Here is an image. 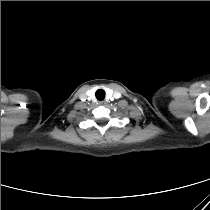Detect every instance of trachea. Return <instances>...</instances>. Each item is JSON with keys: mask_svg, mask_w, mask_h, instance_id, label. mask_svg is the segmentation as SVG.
Returning a JSON list of instances; mask_svg holds the SVG:
<instances>
[{"mask_svg": "<svg viewBox=\"0 0 210 210\" xmlns=\"http://www.w3.org/2000/svg\"><path fill=\"white\" fill-rule=\"evenodd\" d=\"M95 95L98 100H103L105 98V91L103 89H99L96 91Z\"/></svg>", "mask_w": 210, "mask_h": 210, "instance_id": "trachea-1", "label": "trachea"}]
</instances>
